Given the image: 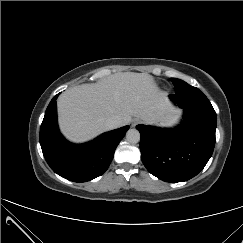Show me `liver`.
Segmentation results:
<instances>
[{
    "instance_id": "1",
    "label": "liver",
    "mask_w": 243,
    "mask_h": 243,
    "mask_svg": "<svg viewBox=\"0 0 243 243\" xmlns=\"http://www.w3.org/2000/svg\"><path fill=\"white\" fill-rule=\"evenodd\" d=\"M59 125L73 142H84L108 131L106 120L120 119V126L141 119L156 123L172 111L166 92L151 75L124 72L105 77L97 83L82 84L63 92L58 100Z\"/></svg>"
}]
</instances>
